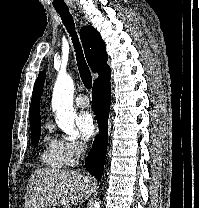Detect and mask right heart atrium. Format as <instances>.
<instances>
[{"mask_svg":"<svg viewBox=\"0 0 199 208\" xmlns=\"http://www.w3.org/2000/svg\"><path fill=\"white\" fill-rule=\"evenodd\" d=\"M58 142L66 166L74 165L85 151V147L80 141L63 138Z\"/></svg>","mask_w":199,"mask_h":208,"instance_id":"1","label":"right heart atrium"}]
</instances>
